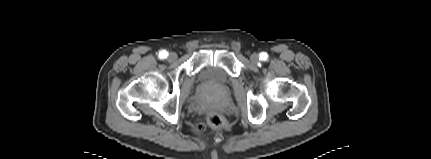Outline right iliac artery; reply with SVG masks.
Here are the masks:
<instances>
[{
  "label": "right iliac artery",
  "mask_w": 431,
  "mask_h": 159,
  "mask_svg": "<svg viewBox=\"0 0 431 159\" xmlns=\"http://www.w3.org/2000/svg\"><path fill=\"white\" fill-rule=\"evenodd\" d=\"M168 56V52L167 51H165V50H162L160 53H159V58H161V59H164V58H166Z\"/></svg>",
  "instance_id": "obj_1"
}]
</instances>
